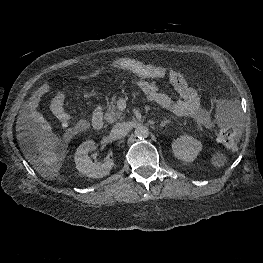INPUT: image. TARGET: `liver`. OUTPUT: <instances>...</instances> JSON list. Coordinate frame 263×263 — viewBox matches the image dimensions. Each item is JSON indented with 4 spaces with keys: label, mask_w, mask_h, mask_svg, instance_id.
Masks as SVG:
<instances>
[{
    "label": "liver",
    "mask_w": 263,
    "mask_h": 263,
    "mask_svg": "<svg viewBox=\"0 0 263 263\" xmlns=\"http://www.w3.org/2000/svg\"><path fill=\"white\" fill-rule=\"evenodd\" d=\"M22 127V117L19 116L17 120L16 130L19 132L18 138H21ZM61 140L53 133L50 134V137L39 136L38 138V150L41 153L42 161L45 165V168L37 167L38 173L43 177H55L58 175L60 170V163L63 161L58 153H56L58 144Z\"/></svg>",
    "instance_id": "obj_1"
}]
</instances>
